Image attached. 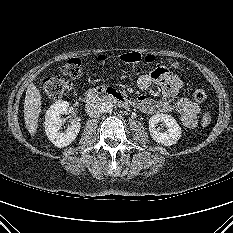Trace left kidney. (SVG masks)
<instances>
[{"mask_svg": "<svg viewBox=\"0 0 233 233\" xmlns=\"http://www.w3.org/2000/svg\"><path fill=\"white\" fill-rule=\"evenodd\" d=\"M163 123L168 128L166 132H161L157 128L158 123ZM149 131L152 139L159 144L171 146L177 143L181 137V128L177 121L168 114H155L149 120Z\"/></svg>", "mask_w": 233, "mask_h": 233, "instance_id": "obj_1", "label": "left kidney"}]
</instances>
